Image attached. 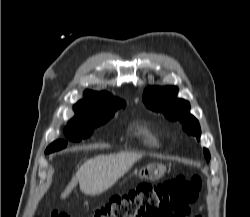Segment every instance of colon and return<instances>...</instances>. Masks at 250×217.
<instances>
[{
	"mask_svg": "<svg viewBox=\"0 0 250 217\" xmlns=\"http://www.w3.org/2000/svg\"><path fill=\"white\" fill-rule=\"evenodd\" d=\"M202 180L199 176H178L159 184L142 183L134 190L113 197L90 217H185L197 198ZM51 217H70L53 212Z\"/></svg>",
	"mask_w": 250,
	"mask_h": 217,
	"instance_id": "colon-1",
	"label": "colon"
}]
</instances>
